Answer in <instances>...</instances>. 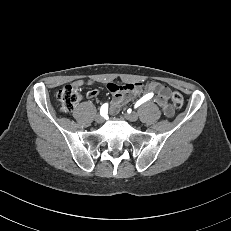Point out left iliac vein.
<instances>
[{
	"label": "left iliac vein",
	"instance_id": "4c4485c4",
	"mask_svg": "<svg viewBox=\"0 0 231 231\" xmlns=\"http://www.w3.org/2000/svg\"><path fill=\"white\" fill-rule=\"evenodd\" d=\"M125 119H127L128 121L131 122H135L138 120V114L136 112H132V113H127L124 115Z\"/></svg>",
	"mask_w": 231,
	"mask_h": 231
}]
</instances>
